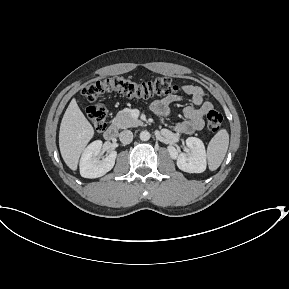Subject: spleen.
<instances>
[{
  "mask_svg": "<svg viewBox=\"0 0 289 289\" xmlns=\"http://www.w3.org/2000/svg\"><path fill=\"white\" fill-rule=\"evenodd\" d=\"M229 145V134L226 129L219 130L210 140L207 147L208 166L216 170L222 163Z\"/></svg>",
  "mask_w": 289,
  "mask_h": 289,
  "instance_id": "3e777b00",
  "label": "spleen"
}]
</instances>
